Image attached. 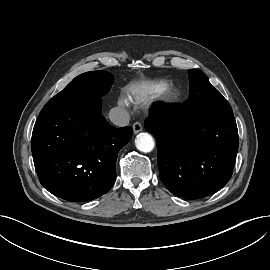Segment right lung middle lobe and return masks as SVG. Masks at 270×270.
I'll return each mask as SVG.
<instances>
[{"mask_svg": "<svg viewBox=\"0 0 270 270\" xmlns=\"http://www.w3.org/2000/svg\"><path fill=\"white\" fill-rule=\"evenodd\" d=\"M113 83L112 74L106 71L86 72L75 77L62 91L56 94L41 111L78 106L101 100Z\"/></svg>", "mask_w": 270, "mask_h": 270, "instance_id": "right-lung-middle-lobe-1", "label": "right lung middle lobe"}]
</instances>
